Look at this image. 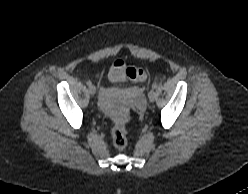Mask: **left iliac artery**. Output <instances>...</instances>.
<instances>
[{"mask_svg":"<svg viewBox=\"0 0 248 194\" xmlns=\"http://www.w3.org/2000/svg\"><path fill=\"white\" fill-rule=\"evenodd\" d=\"M152 88H153V89L157 88V84L154 83V84L152 85Z\"/></svg>","mask_w":248,"mask_h":194,"instance_id":"1","label":"left iliac artery"}]
</instances>
